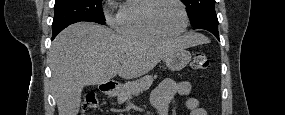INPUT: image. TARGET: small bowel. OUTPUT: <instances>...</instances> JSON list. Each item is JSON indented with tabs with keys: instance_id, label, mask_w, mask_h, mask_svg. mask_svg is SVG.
<instances>
[{
	"instance_id": "c3829d8e",
	"label": "small bowel",
	"mask_w": 285,
	"mask_h": 115,
	"mask_svg": "<svg viewBox=\"0 0 285 115\" xmlns=\"http://www.w3.org/2000/svg\"><path fill=\"white\" fill-rule=\"evenodd\" d=\"M191 90L188 81L163 80L153 91L151 105L156 115H168L169 105L174 95H187ZM186 106L190 115H206V111L195 98H189Z\"/></svg>"
}]
</instances>
